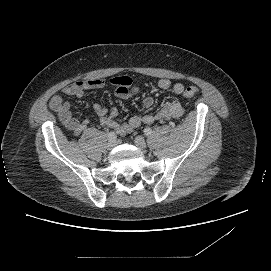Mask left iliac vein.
<instances>
[{
  "label": "left iliac vein",
  "instance_id": "left-iliac-vein-1",
  "mask_svg": "<svg viewBox=\"0 0 271 271\" xmlns=\"http://www.w3.org/2000/svg\"><path fill=\"white\" fill-rule=\"evenodd\" d=\"M134 143L140 149L146 148V142L142 136H136L134 139Z\"/></svg>",
  "mask_w": 271,
  "mask_h": 271
}]
</instances>
